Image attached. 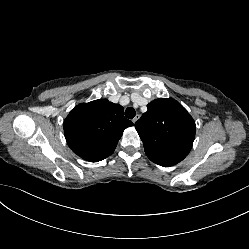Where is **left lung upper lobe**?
<instances>
[{
  "label": "left lung upper lobe",
  "instance_id": "5c2ea615",
  "mask_svg": "<svg viewBox=\"0 0 249 249\" xmlns=\"http://www.w3.org/2000/svg\"><path fill=\"white\" fill-rule=\"evenodd\" d=\"M135 123L148 158L169 167L182 161L190 152L196 125L187 110L172 98L155 99Z\"/></svg>",
  "mask_w": 249,
  "mask_h": 249
}]
</instances>
